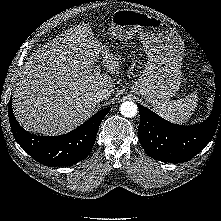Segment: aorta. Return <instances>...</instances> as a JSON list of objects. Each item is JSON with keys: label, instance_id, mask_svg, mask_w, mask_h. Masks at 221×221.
Returning <instances> with one entry per match:
<instances>
[{"label": "aorta", "instance_id": "obj_1", "mask_svg": "<svg viewBox=\"0 0 221 221\" xmlns=\"http://www.w3.org/2000/svg\"><path fill=\"white\" fill-rule=\"evenodd\" d=\"M120 111L124 117L132 118L137 114L138 107L132 101H125L121 104Z\"/></svg>", "mask_w": 221, "mask_h": 221}]
</instances>
